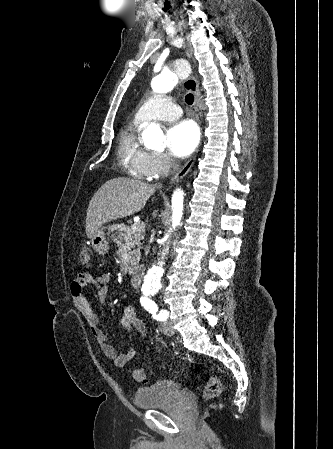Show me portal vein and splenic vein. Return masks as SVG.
I'll return each mask as SVG.
<instances>
[{"label": "portal vein and splenic vein", "instance_id": "obj_1", "mask_svg": "<svg viewBox=\"0 0 333 449\" xmlns=\"http://www.w3.org/2000/svg\"><path fill=\"white\" fill-rule=\"evenodd\" d=\"M132 230L135 232V231H140V230H144V228H145V224L144 223H135V224H133L132 225Z\"/></svg>", "mask_w": 333, "mask_h": 449}]
</instances>
